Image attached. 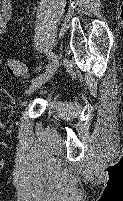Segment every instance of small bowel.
<instances>
[{"mask_svg": "<svg viewBox=\"0 0 123 201\" xmlns=\"http://www.w3.org/2000/svg\"><path fill=\"white\" fill-rule=\"evenodd\" d=\"M14 4L12 0H4L0 8V35L7 30L8 24L11 21Z\"/></svg>", "mask_w": 123, "mask_h": 201, "instance_id": "1", "label": "small bowel"}]
</instances>
